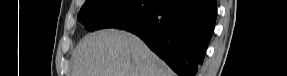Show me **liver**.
<instances>
[{
  "instance_id": "6515ba94",
  "label": "liver",
  "mask_w": 287,
  "mask_h": 76,
  "mask_svg": "<svg viewBox=\"0 0 287 76\" xmlns=\"http://www.w3.org/2000/svg\"><path fill=\"white\" fill-rule=\"evenodd\" d=\"M72 60V76H174L141 39L115 29L83 37Z\"/></svg>"
}]
</instances>
